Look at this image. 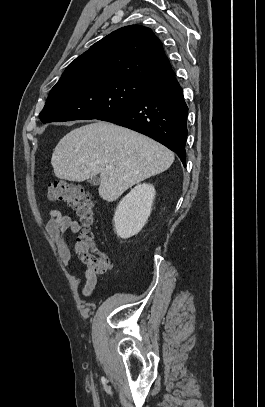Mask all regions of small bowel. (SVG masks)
Returning a JSON list of instances; mask_svg holds the SVG:
<instances>
[{"mask_svg":"<svg viewBox=\"0 0 265 407\" xmlns=\"http://www.w3.org/2000/svg\"><path fill=\"white\" fill-rule=\"evenodd\" d=\"M46 232L57 249L58 258L64 267L71 271L70 261L72 258L71 250L65 240V233L77 234L81 230L78 221L73 220L68 215H63L60 211L52 209L48 213L46 222ZM98 284V278L95 272L86 270L84 273V283L81 293L84 297H89Z\"/></svg>","mask_w":265,"mask_h":407,"instance_id":"obj_1","label":"small bowel"}]
</instances>
